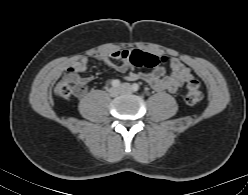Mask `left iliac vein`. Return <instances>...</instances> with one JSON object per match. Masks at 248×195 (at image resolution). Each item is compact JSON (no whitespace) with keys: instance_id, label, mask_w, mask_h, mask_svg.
<instances>
[{"instance_id":"4c4485c4","label":"left iliac vein","mask_w":248,"mask_h":195,"mask_svg":"<svg viewBox=\"0 0 248 195\" xmlns=\"http://www.w3.org/2000/svg\"><path fill=\"white\" fill-rule=\"evenodd\" d=\"M119 88H120L122 93H131L132 92V87L127 83L122 84Z\"/></svg>"}]
</instances>
